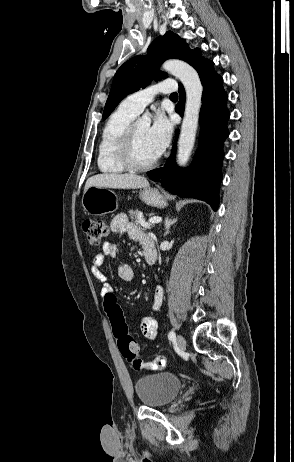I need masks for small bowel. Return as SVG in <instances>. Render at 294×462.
<instances>
[{
  "mask_svg": "<svg viewBox=\"0 0 294 462\" xmlns=\"http://www.w3.org/2000/svg\"><path fill=\"white\" fill-rule=\"evenodd\" d=\"M111 231L119 235H127L134 240H137L143 246L147 242L153 241L142 234L138 228L133 225L125 214L116 215L110 223ZM154 244V243H153ZM118 248L115 243L106 242L103 244L102 252L97 254L91 264V273L102 284L100 294L103 298L112 294V287L107 281L106 275L101 270L103 263L107 258H114L117 255ZM118 276L124 282H131L134 279L133 268L126 264H120L118 267ZM164 299V291L161 286H157L150 304V309L156 311L160 308ZM141 330L145 337L149 340H155L157 337L158 324L157 321L147 315L141 317ZM166 367V360L159 357L154 361L143 363V367L147 370H163Z\"/></svg>",
  "mask_w": 294,
  "mask_h": 462,
  "instance_id": "1",
  "label": "small bowel"
}]
</instances>
